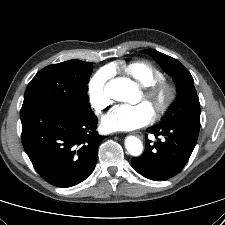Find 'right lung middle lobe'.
<instances>
[{"mask_svg": "<svg viewBox=\"0 0 225 225\" xmlns=\"http://www.w3.org/2000/svg\"><path fill=\"white\" fill-rule=\"evenodd\" d=\"M92 63L69 60L40 70L28 84L22 106L47 104L69 109L79 116L94 115L86 87Z\"/></svg>", "mask_w": 225, "mask_h": 225, "instance_id": "obj_1", "label": "right lung middle lobe"}]
</instances>
